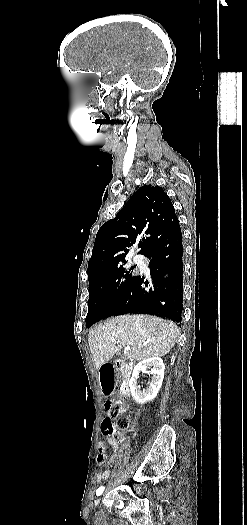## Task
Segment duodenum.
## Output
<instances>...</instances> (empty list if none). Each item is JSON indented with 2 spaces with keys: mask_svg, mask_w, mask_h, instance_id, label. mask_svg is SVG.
<instances>
[{
  "mask_svg": "<svg viewBox=\"0 0 247 525\" xmlns=\"http://www.w3.org/2000/svg\"><path fill=\"white\" fill-rule=\"evenodd\" d=\"M133 365L124 360L117 359L103 363L99 368V381L103 394L110 395L115 385V371L122 372L121 394L124 396L130 393V378Z\"/></svg>",
  "mask_w": 247,
  "mask_h": 525,
  "instance_id": "duodenum-1",
  "label": "duodenum"
}]
</instances>
